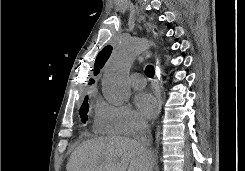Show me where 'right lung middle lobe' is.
<instances>
[{
    "label": "right lung middle lobe",
    "mask_w": 245,
    "mask_h": 171,
    "mask_svg": "<svg viewBox=\"0 0 245 171\" xmlns=\"http://www.w3.org/2000/svg\"><path fill=\"white\" fill-rule=\"evenodd\" d=\"M88 109H89V107H88V98L86 97L84 99V102H83L81 108L79 109V114H80V117L82 118L83 122H86V120H87Z\"/></svg>",
    "instance_id": "1"
}]
</instances>
